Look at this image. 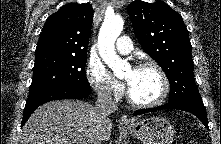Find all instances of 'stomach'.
<instances>
[{"instance_id":"0dacf381","label":"stomach","mask_w":221,"mask_h":144,"mask_svg":"<svg viewBox=\"0 0 221 144\" xmlns=\"http://www.w3.org/2000/svg\"><path fill=\"white\" fill-rule=\"evenodd\" d=\"M123 129L143 144H172L175 130L171 123L160 116H152L124 126Z\"/></svg>"}]
</instances>
